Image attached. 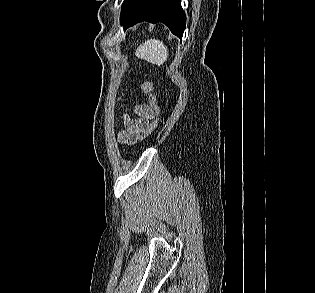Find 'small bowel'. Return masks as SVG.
Here are the masks:
<instances>
[{
  "label": "small bowel",
  "mask_w": 315,
  "mask_h": 293,
  "mask_svg": "<svg viewBox=\"0 0 315 293\" xmlns=\"http://www.w3.org/2000/svg\"><path fill=\"white\" fill-rule=\"evenodd\" d=\"M135 112L137 118H124L125 130L118 137L122 144H132L140 140L149 125V118H152L150 108L145 105L137 106Z\"/></svg>",
  "instance_id": "1"
}]
</instances>
